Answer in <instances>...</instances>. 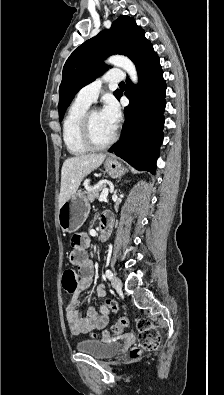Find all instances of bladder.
Masks as SVG:
<instances>
[{
  "mask_svg": "<svg viewBox=\"0 0 224 395\" xmlns=\"http://www.w3.org/2000/svg\"><path fill=\"white\" fill-rule=\"evenodd\" d=\"M76 348L79 352L104 360L115 356L119 352V344L111 341H100L92 339L80 340Z\"/></svg>",
  "mask_w": 224,
  "mask_h": 395,
  "instance_id": "bladder-1",
  "label": "bladder"
}]
</instances>
